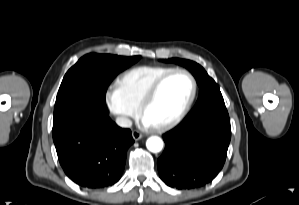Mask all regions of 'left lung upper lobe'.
<instances>
[{
	"label": "left lung upper lobe",
	"instance_id": "left-lung-upper-lobe-1",
	"mask_svg": "<svg viewBox=\"0 0 299 205\" xmlns=\"http://www.w3.org/2000/svg\"><path fill=\"white\" fill-rule=\"evenodd\" d=\"M166 62H174L188 68L197 80L200 87L199 97L194 108L190 111L188 116L197 117L208 110L225 107V103L220 92L219 86L207 74V72L199 64L179 58H171L165 60Z\"/></svg>",
	"mask_w": 299,
	"mask_h": 205
}]
</instances>
